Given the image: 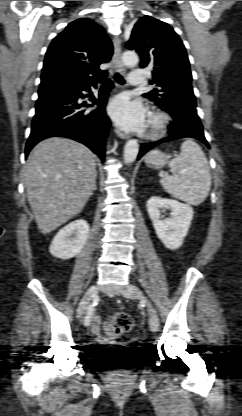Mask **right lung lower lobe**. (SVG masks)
<instances>
[{
  "label": "right lung lower lobe",
  "mask_w": 242,
  "mask_h": 416,
  "mask_svg": "<svg viewBox=\"0 0 242 416\" xmlns=\"http://www.w3.org/2000/svg\"><path fill=\"white\" fill-rule=\"evenodd\" d=\"M91 85L95 86L96 83ZM112 87L111 82H106L100 89L99 98L90 99L93 104L99 106L91 112L86 111L84 107H91L93 104L77 102L78 98L84 97L83 90L90 91V85L39 95L31 134L26 143L25 157L41 140L52 136H65L83 143L103 160L110 123L105 106Z\"/></svg>",
  "instance_id": "right-lung-lower-lobe-1"
}]
</instances>
